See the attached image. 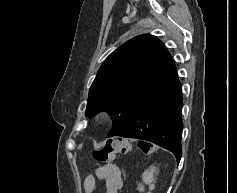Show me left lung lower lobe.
<instances>
[{"mask_svg": "<svg viewBox=\"0 0 237 193\" xmlns=\"http://www.w3.org/2000/svg\"><path fill=\"white\" fill-rule=\"evenodd\" d=\"M182 89L174 63L148 88L130 122L117 135L153 142L171 151L180 162L183 129Z\"/></svg>", "mask_w": 237, "mask_h": 193, "instance_id": "obj_1", "label": "left lung lower lobe"}]
</instances>
